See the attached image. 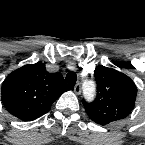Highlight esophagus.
<instances>
[{"label": "esophagus", "instance_id": "1", "mask_svg": "<svg viewBox=\"0 0 145 145\" xmlns=\"http://www.w3.org/2000/svg\"><path fill=\"white\" fill-rule=\"evenodd\" d=\"M74 92H75L76 94H80V93H81V85H80V83H77V84L75 85V87H74Z\"/></svg>", "mask_w": 145, "mask_h": 145}]
</instances>
